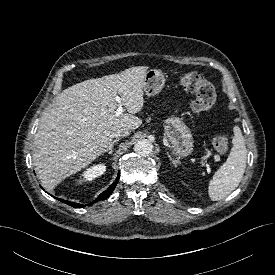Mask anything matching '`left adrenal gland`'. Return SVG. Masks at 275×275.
Listing matches in <instances>:
<instances>
[{"mask_svg": "<svg viewBox=\"0 0 275 275\" xmlns=\"http://www.w3.org/2000/svg\"><path fill=\"white\" fill-rule=\"evenodd\" d=\"M171 162L175 165V161L169 156Z\"/></svg>", "mask_w": 275, "mask_h": 275, "instance_id": "obj_1", "label": "left adrenal gland"}]
</instances>
